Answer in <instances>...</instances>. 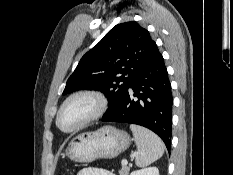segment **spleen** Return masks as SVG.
Returning a JSON list of instances; mask_svg holds the SVG:
<instances>
[{"label": "spleen", "instance_id": "3e777b00", "mask_svg": "<svg viewBox=\"0 0 233 175\" xmlns=\"http://www.w3.org/2000/svg\"><path fill=\"white\" fill-rule=\"evenodd\" d=\"M137 146L135 163L145 167L158 160L164 153L162 140L150 130L135 124L130 125Z\"/></svg>", "mask_w": 233, "mask_h": 175}]
</instances>
